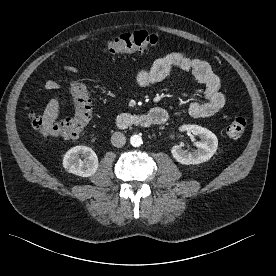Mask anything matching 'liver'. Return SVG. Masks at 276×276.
<instances>
[{"label":"liver","instance_id":"1","mask_svg":"<svg viewBox=\"0 0 276 276\" xmlns=\"http://www.w3.org/2000/svg\"><path fill=\"white\" fill-rule=\"evenodd\" d=\"M59 115V102L56 98H52L47 104L43 116H42V124L43 131L42 134L44 137H47L53 123L57 119Z\"/></svg>","mask_w":276,"mask_h":276}]
</instances>
